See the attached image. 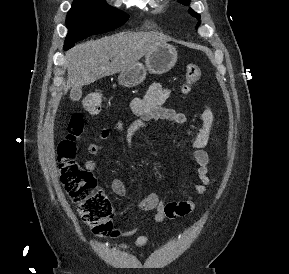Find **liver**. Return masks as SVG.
Masks as SVG:
<instances>
[{"label":"liver","instance_id":"liver-1","mask_svg":"<svg viewBox=\"0 0 289 274\" xmlns=\"http://www.w3.org/2000/svg\"><path fill=\"white\" fill-rule=\"evenodd\" d=\"M164 43L163 37L153 33L122 32L77 45L66 53V90L122 72Z\"/></svg>","mask_w":289,"mask_h":274}]
</instances>
